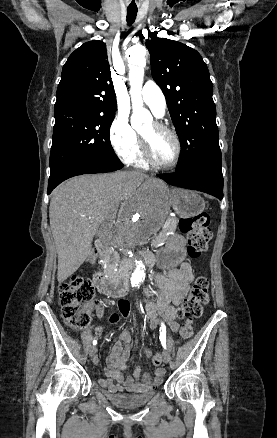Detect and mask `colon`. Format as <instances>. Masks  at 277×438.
<instances>
[{
  "instance_id": "colon-1",
  "label": "colon",
  "mask_w": 277,
  "mask_h": 438,
  "mask_svg": "<svg viewBox=\"0 0 277 438\" xmlns=\"http://www.w3.org/2000/svg\"><path fill=\"white\" fill-rule=\"evenodd\" d=\"M179 225L182 234L187 236L188 255L192 258H199L206 250L212 237L209 229V214L203 212L194 217H184L180 220ZM86 259L87 261H97V252H87ZM208 287L209 282L204 277L195 279L191 284L189 294L180 307V313L187 320L179 329L181 340H186L192 335L193 325L190 320L201 315L204 305L208 303ZM93 293L94 287L85 276H73L60 284L59 296L62 314L73 328L83 329L89 324ZM153 363L160 366L163 363L162 355L156 354L153 357Z\"/></svg>"
}]
</instances>
